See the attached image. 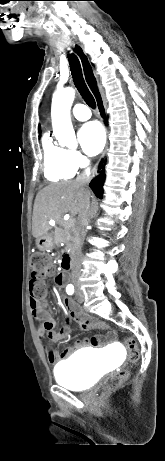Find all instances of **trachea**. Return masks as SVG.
<instances>
[{
	"instance_id": "1",
	"label": "trachea",
	"mask_w": 165,
	"mask_h": 461,
	"mask_svg": "<svg viewBox=\"0 0 165 461\" xmlns=\"http://www.w3.org/2000/svg\"><path fill=\"white\" fill-rule=\"evenodd\" d=\"M79 55H80V57H82L84 59V74H85L87 83H88L90 89L92 90L97 102L98 101L102 102L100 93H99V91L97 89V86H96V79H95V77L93 75V72H92V69L90 67V64H89L87 58L85 57V55L83 54V52L81 50H79ZM69 64H70L71 75H72V78H73V81H74V84H75L76 88L78 89V91L82 95L84 101L91 108H95L96 107L95 99H94L93 95L90 93L89 89L87 88V86L85 84L83 74H82L81 65H80V62H79L78 58L73 54L69 55Z\"/></svg>"
}]
</instances>
